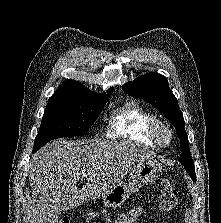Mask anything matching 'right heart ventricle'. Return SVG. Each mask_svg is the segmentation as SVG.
<instances>
[{"instance_id": "1", "label": "right heart ventricle", "mask_w": 221, "mask_h": 223, "mask_svg": "<svg viewBox=\"0 0 221 223\" xmlns=\"http://www.w3.org/2000/svg\"><path fill=\"white\" fill-rule=\"evenodd\" d=\"M154 120L156 115L149 108L138 101H129L111 112L106 135L110 139L157 148L158 145L148 136L149 126Z\"/></svg>"}]
</instances>
